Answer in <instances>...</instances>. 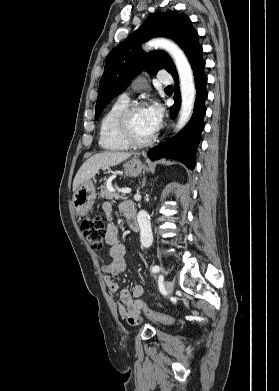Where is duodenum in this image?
I'll use <instances>...</instances> for the list:
<instances>
[{
    "label": "duodenum",
    "mask_w": 279,
    "mask_h": 391,
    "mask_svg": "<svg viewBox=\"0 0 279 391\" xmlns=\"http://www.w3.org/2000/svg\"><path fill=\"white\" fill-rule=\"evenodd\" d=\"M125 215L128 221V224L130 228L134 232H138L140 230V226L137 220V215H136V210L134 208V205L132 207L126 208L125 209Z\"/></svg>",
    "instance_id": "obj_1"
}]
</instances>
